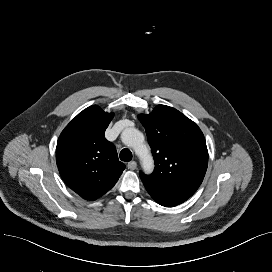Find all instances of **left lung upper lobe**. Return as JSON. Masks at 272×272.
I'll use <instances>...</instances> for the list:
<instances>
[{"mask_svg":"<svg viewBox=\"0 0 272 272\" xmlns=\"http://www.w3.org/2000/svg\"><path fill=\"white\" fill-rule=\"evenodd\" d=\"M138 119L144 126L155 169L151 175L140 172L148 184L177 190L192 196L205 176L208 151L204 135L192 120L175 108L158 105Z\"/></svg>","mask_w":272,"mask_h":272,"instance_id":"obj_1","label":"left lung upper lobe"}]
</instances>
